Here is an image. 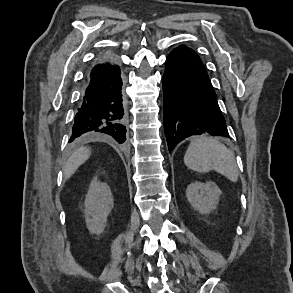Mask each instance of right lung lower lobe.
<instances>
[{
  "mask_svg": "<svg viewBox=\"0 0 293 293\" xmlns=\"http://www.w3.org/2000/svg\"><path fill=\"white\" fill-rule=\"evenodd\" d=\"M120 73L119 65L109 57L100 58L90 68L69 142L104 137L125 142L126 111Z\"/></svg>",
  "mask_w": 293,
  "mask_h": 293,
  "instance_id": "98d812e1",
  "label": "right lung lower lobe"
}]
</instances>
